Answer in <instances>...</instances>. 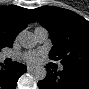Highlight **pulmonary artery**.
I'll use <instances>...</instances> for the list:
<instances>
[{"label": "pulmonary artery", "mask_w": 89, "mask_h": 89, "mask_svg": "<svg viewBox=\"0 0 89 89\" xmlns=\"http://www.w3.org/2000/svg\"><path fill=\"white\" fill-rule=\"evenodd\" d=\"M34 36L38 43H43L48 38V31L45 28H36L34 30Z\"/></svg>", "instance_id": "obj_1"}]
</instances>
